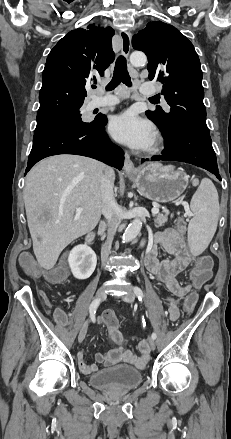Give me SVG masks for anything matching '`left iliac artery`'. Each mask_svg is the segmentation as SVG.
Here are the masks:
<instances>
[{
  "label": "left iliac artery",
  "mask_w": 231,
  "mask_h": 439,
  "mask_svg": "<svg viewBox=\"0 0 231 439\" xmlns=\"http://www.w3.org/2000/svg\"><path fill=\"white\" fill-rule=\"evenodd\" d=\"M134 293L137 296L138 300L142 301V299L144 298V294H143V291L139 287H137V286L134 287ZM156 337H157L156 333L153 332L151 335V338L156 339Z\"/></svg>",
  "instance_id": "left-iliac-artery-1"
}]
</instances>
